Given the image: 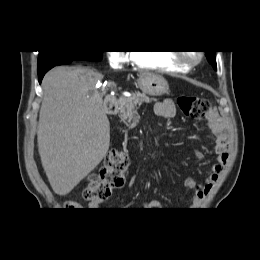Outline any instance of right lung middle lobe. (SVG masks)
Instances as JSON below:
<instances>
[{
  "instance_id": "dd1d6c3e",
  "label": "right lung middle lobe",
  "mask_w": 260,
  "mask_h": 260,
  "mask_svg": "<svg viewBox=\"0 0 260 260\" xmlns=\"http://www.w3.org/2000/svg\"><path fill=\"white\" fill-rule=\"evenodd\" d=\"M103 51H40L38 57V72L61 65L67 61H100Z\"/></svg>"
}]
</instances>
